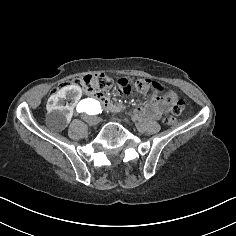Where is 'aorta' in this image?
Masks as SVG:
<instances>
[{
    "label": "aorta",
    "mask_w": 236,
    "mask_h": 236,
    "mask_svg": "<svg viewBox=\"0 0 236 236\" xmlns=\"http://www.w3.org/2000/svg\"><path fill=\"white\" fill-rule=\"evenodd\" d=\"M100 110V104L96 99L88 98L82 103L81 111L84 115L97 113Z\"/></svg>",
    "instance_id": "aorta-1"
}]
</instances>
